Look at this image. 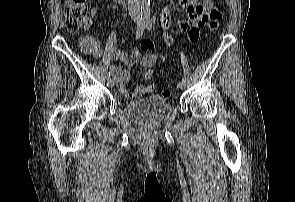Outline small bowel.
<instances>
[{"mask_svg":"<svg viewBox=\"0 0 295 202\" xmlns=\"http://www.w3.org/2000/svg\"><path fill=\"white\" fill-rule=\"evenodd\" d=\"M178 7L185 9L188 13V20H182L178 23L177 32L180 34H186L189 41L195 42L198 38L199 31L206 25L209 20V14L214 7L212 0H179ZM172 7H166L162 11V22L165 29H168L170 25V14ZM98 14V8L93 7L90 10V16L95 17ZM92 25L90 18H87L86 28L89 29ZM175 39L169 35H166V42L169 44L174 43ZM81 42H86L90 45L91 49L86 53L91 54L94 57H100L102 49L99 41L94 36L83 37ZM158 44L151 41H144L141 44L142 50H149L151 48H157ZM110 57L121 60L127 67L132 66L140 57V51L134 50L131 54H127L122 50H110ZM157 57V56H156ZM142 72L143 79L149 80L153 75H147L145 68ZM110 70L116 80L119 91L128 99H140L146 94H151L154 90H144V86H137L133 89L127 87L129 80V72L126 69H122L117 65H112Z\"/></svg>","mask_w":295,"mask_h":202,"instance_id":"c3829d8e","label":"small bowel"}]
</instances>
